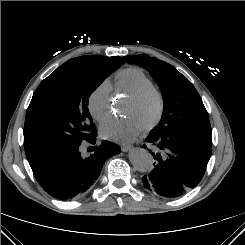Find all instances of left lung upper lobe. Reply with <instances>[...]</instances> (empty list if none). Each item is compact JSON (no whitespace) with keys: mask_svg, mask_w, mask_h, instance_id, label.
<instances>
[{"mask_svg":"<svg viewBox=\"0 0 245 245\" xmlns=\"http://www.w3.org/2000/svg\"><path fill=\"white\" fill-rule=\"evenodd\" d=\"M129 64L147 66L163 97L160 125L150 134L185 135L212 146V130L207 110L192 83L172 65L147 55L127 56Z\"/></svg>","mask_w":245,"mask_h":245,"instance_id":"left-lung-upper-lobe-1","label":"left lung upper lobe"}]
</instances>
